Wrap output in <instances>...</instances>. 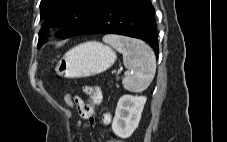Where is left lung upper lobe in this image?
<instances>
[{"label":"left lung upper lobe","mask_w":227,"mask_h":142,"mask_svg":"<svg viewBox=\"0 0 227 142\" xmlns=\"http://www.w3.org/2000/svg\"><path fill=\"white\" fill-rule=\"evenodd\" d=\"M108 0H41L43 22L39 31L38 47L47 42V27L53 22L64 24L63 30L56 34L59 38L72 37ZM61 17H58L60 16Z\"/></svg>","instance_id":"5c2ea615"}]
</instances>
